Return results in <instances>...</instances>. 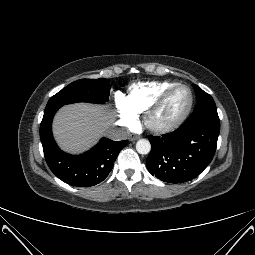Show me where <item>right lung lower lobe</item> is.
<instances>
[{
  "instance_id": "98d812e1",
  "label": "right lung lower lobe",
  "mask_w": 255,
  "mask_h": 255,
  "mask_svg": "<svg viewBox=\"0 0 255 255\" xmlns=\"http://www.w3.org/2000/svg\"><path fill=\"white\" fill-rule=\"evenodd\" d=\"M59 108H45L40 125V138L46 162L51 171L65 183L77 187L94 186L108 176L119 152L128 141L117 142L102 138L84 154H66L57 146L51 129L53 116Z\"/></svg>"
}]
</instances>
